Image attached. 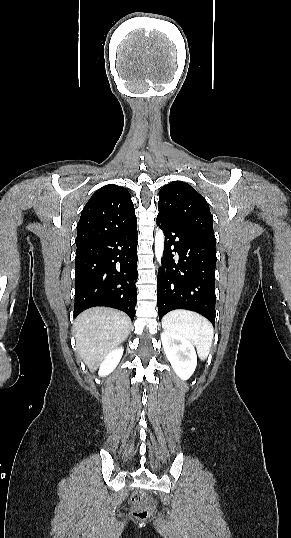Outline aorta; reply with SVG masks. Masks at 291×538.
<instances>
[{
	"label": "aorta",
	"instance_id": "obj_1",
	"mask_svg": "<svg viewBox=\"0 0 291 538\" xmlns=\"http://www.w3.org/2000/svg\"><path fill=\"white\" fill-rule=\"evenodd\" d=\"M164 251V234L161 230H158L155 235V256L160 263Z\"/></svg>",
	"mask_w": 291,
	"mask_h": 538
}]
</instances>
